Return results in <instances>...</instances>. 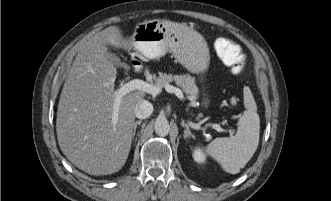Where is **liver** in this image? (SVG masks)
<instances>
[{
	"mask_svg": "<svg viewBox=\"0 0 331 201\" xmlns=\"http://www.w3.org/2000/svg\"><path fill=\"white\" fill-rule=\"evenodd\" d=\"M107 45L127 48L118 26H110L80 47L60 95L56 132L61 151L90 175L118 172L133 138L135 108L145 97L134 91L122 98L116 126L112 124L116 66L105 57Z\"/></svg>",
	"mask_w": 331,
	"mask_h": 201,
	"instance_id": "obj_1",
	"label": "liver"
}]
</instances>
